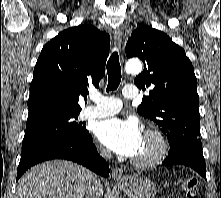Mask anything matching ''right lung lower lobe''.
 <instances>
[{
  "label": "right lung lower lobe",
  "instance_id": "98d812e1",
  "mask_svg": "<svg viewBox=\"0 0 221 198\" xmlns=\"http://www.w3.org/2000/svg\"><path fill=\"white\" fill-rule=\"evenodd\" d=\"M51 159H66L82 164L104 177L109 176L107 162L98 154L88 133L83 138L52 137L22 149L17 180L31 166Z\"/></svg>",
  "mask_w": 221,
  "mask_h": 198
}]
</instances>
